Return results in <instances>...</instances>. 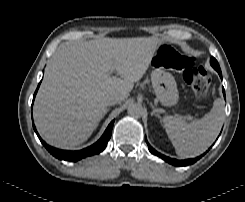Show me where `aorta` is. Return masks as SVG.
<instances>
[{"label":"aorta","instance_id":"aorta-1","mask_svg":"<svg viewBox=\"0 0 245 202\" xmlns=\"http://www.w3.org/2000/svg\"><path fill=\"white\" fill-rule=\"evenodd\" d=\"M127 112L130 116L139 118L143 114V107L140 103H130Z\"/></svg>","mask_w":245,"mask_h":202}]
</instances>
